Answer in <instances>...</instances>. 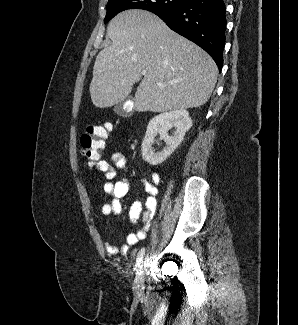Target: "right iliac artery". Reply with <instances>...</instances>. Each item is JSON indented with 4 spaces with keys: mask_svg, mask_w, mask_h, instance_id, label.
<instances>
[{
    "mask_svg": "<svg viewBox=\"0 0 298 325\" xmlns=\"http://www.w3.org/2000/svg\"><path fill=\"white\" fill-rule=\"evenodd\" d=\"M145 253V248H142L139 252H138V255H137V260H136V267L139 268L140 267V264L142 262V259H143V255Z\"/></svg>",
    "mask_w": 298,
    "mask_h": 325,
    "instance_id": "right-iliac-artery-1",
    "label": "right iliac artery"
}]
</instances>
